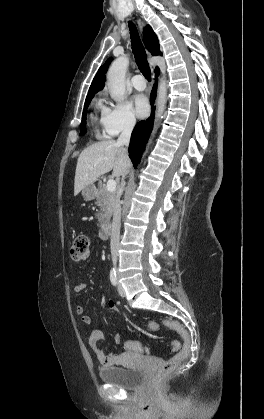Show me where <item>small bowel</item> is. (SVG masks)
I'll list each match as a JSON object with an SVG mask.
<instances>
[{
    "label": "small bowel",
    "instance_id": "c3829d8e",
    "mask_svg": "<svg viewBox=\"0 0 264 419\" xmlns=\"http://www.w3.org/2000/svg\"><path fill=\"white\" fill-rule=\"evenodd\" d=\"M87 289V285L85 282H79L75 285L74 291L78 294L85 292ZM110 307L114 308V303L110 302ZM76 312L81 316V321L86 324L90 325L92 323V318L90 315L86 314L85 308L81 305H78L76 307ZM103 333L102 330L99 328L91 329L89 332V338H88V344L92 351L94 352L96 358L100 362V364L104 367H112L120 365L122 362V359L128 355L129 353H135V354H146L143 352H140L139 350L132 349L131 344L135 343V341H128L125 343L124 348L125 352L121 355L117 354H106L104 350L100 347L99 341L102 339ZM113 341L116 344H119L121 341V336L119 333H116L113 336Z\"/></svg>",
    "mask_w": 264,
    "mask_h": 419
}]
</instances>
